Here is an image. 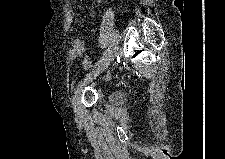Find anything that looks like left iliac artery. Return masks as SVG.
I'll return each mask as SVG.
<instances>
[{
    "instance_id": "1",
    "label": "left iliac artery",
    "mask_w": 225,
    "mask_h": 159,
    "mask_svg": "<svg viewBox=\"0 0 225 159\" xmlns=\"http://www.w3.org/2000/svg\"><path fill=\"white\" fill-rule=\"evenodd\" d=\"M110 49H111V48H108V50H106V52H105V53L103 54V56L98 60V62L95 63L96 66L99 65V64L103 61L104 57H106L107 54L110 52Z\"/></svg>"
}]
</instances>
